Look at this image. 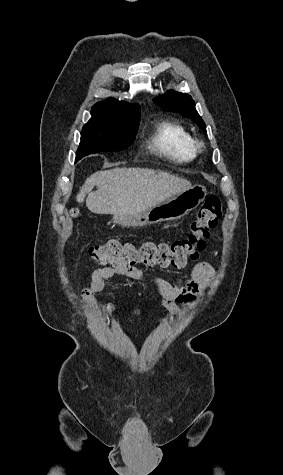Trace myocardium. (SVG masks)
Returning <instances> with one entry per match:
<instances>
[{
    "label": "myocardium",
    "mask_w": 283,
    "mask_h": 475,
    "mask_svg": "<svg viewBox=\"0 0 283 475\" xmlns=\"http://www.w3.org/2000/svg\"><path fill=\"white\" fill-rule=\"evenodd\" d=\"M192 146H193V148L195 149V151L197 153L202 151L205 147L204 143L201 140L197 139V138H192ZM165 154L171 155V152L169 150H166Z\"/></svg>",
    "instance_id": "f54148a6"
}]
</instances>
